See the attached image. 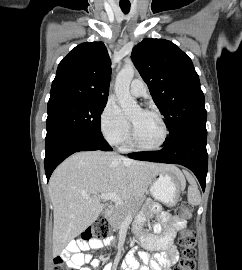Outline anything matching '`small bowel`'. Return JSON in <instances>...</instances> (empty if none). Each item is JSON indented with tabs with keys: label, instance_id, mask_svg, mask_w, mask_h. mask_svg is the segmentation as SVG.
<instances>
[{
	"label": "small bowel",
	"instance_id": "1",
	"mask_svg": "<svg viewBox=\"0 0 242 270\" xmlns=\"http://www.w3.org/2000/svg\"><path fill=\"white\" fill-rule=\"evenodd\" d=\"M150 211L157 215L158 222L153 225L154 234L142 235L141 245L150 251H155L154 258L151 259L147 252H140L139 259L144 263L139 266V262L133 253H128L122 263L123 270H172L171 268L179 260V252L175 245V238L179 231L186 227V221L166 212H160L158 206L153 205ZM147 220V215L141 213L135 221V228ZM163 227V230H162ZM111 240L93 239L88 242H71L66 250L62 251L61 257L70 270H96L100 265V260L93 258L91 254L85 253L87 250H98L111 244ZM111 263L105 265L103 270H112Z\"/></svg>",
	"mask_w": 242,
	"mask_h": 270
}]
</instances>
